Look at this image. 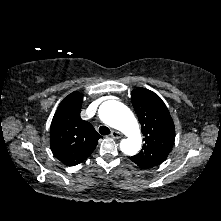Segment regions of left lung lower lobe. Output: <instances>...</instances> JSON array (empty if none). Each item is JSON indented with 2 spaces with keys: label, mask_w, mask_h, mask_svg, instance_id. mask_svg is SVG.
Masks as SVG:
<instances>
[{
  "label": "left lung lower lobe",
  "mask_w": 221,
  "mask_h": 221,
  "mask_svg": "<svg viewBox=\"0 0 221 221\" xmlns=\"http://www.w3.org/2000/svg\"><path fill=\"white\" fill-rule=\"evenodd\" d=\"M133 162L136 163L141 168H150V166H147L145 164H142V163H139V162H135V161H133Z\"/></svg>",
  "instance_id": "obj_1"
}]
</instances>
